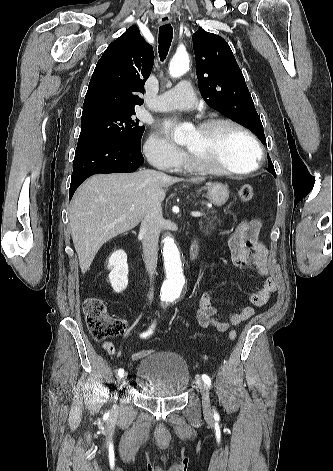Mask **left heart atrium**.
I'll use <instances>...</instances> for the list:
<instances>
[{"mask_svg":"<svg viewBox=\"0 0 333 471\" xmlns=\"http://www.w3.org/2000/svg\"><path fill=\"white\" fill-rule=\"evenodd\" d=\"M165 130H166L167 132H171V130H172V123L167 122V123L165 124Z\"/></svg>","mask_w":333,"mask_h":471,"instance_id":"39dd6f15","label":"left heart atrium"}]
</instances>
